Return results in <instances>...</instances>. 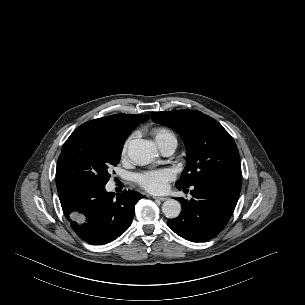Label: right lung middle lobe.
<instances>
[{
    "label": "right lung middle lobe",
    "instance_id": "dd1d6c3e",
    "mask_svg": "<svg viewBox=\"0 0 305 305\" xmlns=\"http://www.w3.org/2000/svg\"><path fill=\"white\" fill-rule=\"evenodd\" d=\"M123 144L108 135L78 127L63 145L56 184L105 186L110 169L119 163Z\"/></svg>",
    "mask_w": 305,
    "mask_h": 305
}]
</instances>
